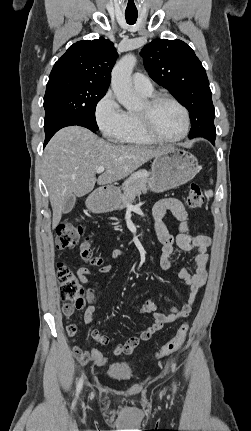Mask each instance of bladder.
Instances as JSON below:
<instances>
[{"instance_id": "obj_1", "label": "bladder", "mask_w": 251, "mask_h": 431, "mask_svg": "<svg viewBox=\"0 0 251 431\" xmlns=\"http://www.w3.org/2000/svg\"><path fill=\"white\" fill-rule=\"evenodd\" d=\"M106 374L113 380H128L133 376V368L128 362H115L108 367Z\"/></svg>"}]
</instances>
